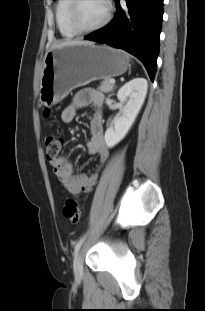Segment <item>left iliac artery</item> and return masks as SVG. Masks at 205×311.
Returning <instances> with one entry per match:
<instances>
[{"instance_id": "obj_1", "label": "left iliac artery", "mask_w": 205, "mask_h": 311, "mask_svg": "<svg viewBox=\"0 0 205 311\" xmlns=\"http://www.w3.org/2000/svg\"><path fill=\"white\" fill-rule=\"evenodd\" d=\"M85 237L80 238V240L76 243L75 248H74V257H76V255L78 254V251L84 241Z\"/></svg>"}]
</instances>
